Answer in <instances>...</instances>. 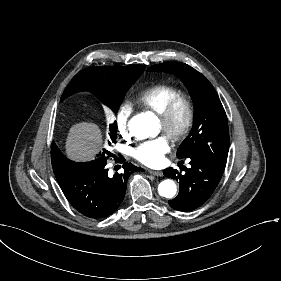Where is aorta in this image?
I'll return each instance as SVG.
<instances>
[{"mask_svg": "<svg viewBox=\"0 0 281 281\" xmlns=\"http://www.w3.org/2000/svg\"><path fill=\"white\" fill-rule=\"evenodd\" d=\"M130 132L138 139L156 136L159 133V124L151 113H141L134 116L129 124ZM159 195L165 198H173L177 187L173 180L166 179L158 186Z\"/></svg>", "mask_w": 281, "mask_h": 281, "instance_id": "aorta-1", "label": "aorta"}]
</instances>
